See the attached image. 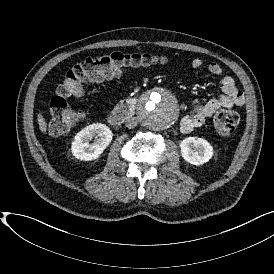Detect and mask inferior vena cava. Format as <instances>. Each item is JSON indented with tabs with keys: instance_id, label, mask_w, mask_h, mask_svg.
Returning <instances> with one entry per match:
<instances>
[{
	"instance_id": "1",
	"label": "inferior vena cava",
	"mask_w": 274,
	"mask_h": 274,
	"mask_svg": "<svg viewBox=\"0 0 274 274\" xmlns=\"http://www.w3.org/2000/svg\"><path fill=\"white\" fill-rule=\"evenodd\" d=\"M138 124V118L137 117H131L126 120V127L128 129H133L137 126Z\"/></svg>"
}]
</instances>
